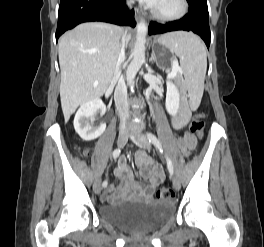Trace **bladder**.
Here are the masks:
<instances>
[{
    "label": "bladder",
    "mask_w": 264,
    "mask_h": 247,
    "mask_svg": "<svg viewBox=\"0 0 264 247\" xmlns=\"http://www.w3.org/2000/svg\"><path fill=\"white\" fill-rule=\"evenodd\" d=\"M174 206L155 200L147 203L126 201L99 208V217L129 233H146L158 229L173 217Z\"/></svg>",
    "instance_id": "1"
}]
</instances>
